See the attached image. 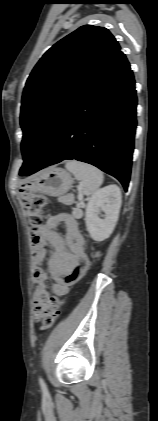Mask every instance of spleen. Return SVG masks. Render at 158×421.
<instances>
[{
  "instance_id": "3e777b00",
  "label": "spleen",
  "mask_w": 158,
  "mask_h": 421,
  "mask_svg": "<svg viewBox=\"0 0 158 421\" xmlns=\"http://www.w3.org/2000/svg\"><path fill=\"white\" fill-rule=\"evenodd\" d=\"M65 168L80 181L79 190L86 196L94 195L103 183V173L90 164L71 160Z\"/></svg>"
}]
</instances>
